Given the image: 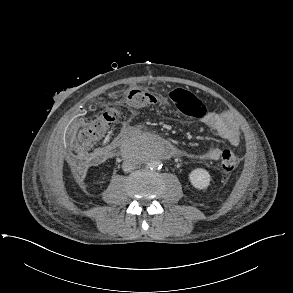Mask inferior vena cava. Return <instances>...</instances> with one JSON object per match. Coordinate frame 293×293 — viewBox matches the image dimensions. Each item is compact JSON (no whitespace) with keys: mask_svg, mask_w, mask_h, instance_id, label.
Returning <instances> with one entry per match:
<instances>
[{"mask_svg":"<svg viewBox=\"0 0 293 293\" xmlns=\"http://www.w3.org/2000/svg\"><path fill=\"white\" fill-rule=\"evenodd\" d=\"M135 168H136L135 163L130 162V161H125L122 164V169H123L124 172H130Z\"/></svg>","mask_w":293,"mask_h":293,"instance_id":"inferior-vena-cava-1","label":"inferior vena cava"}]
</instances>
